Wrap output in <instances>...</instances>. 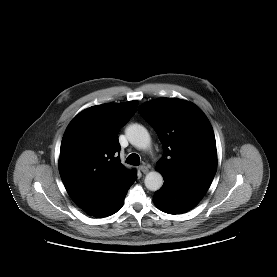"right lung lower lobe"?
<instances>
[{
    "label": "right lung lower lobe",
    "mask_w": 277,
    "mask_h": 277,
    "mask_svg": "<svg viewBox=\"0 0 277 277\" xmlns=\"http://www.w3.org/2000/svg\"><path fill=\"white\" fill-rule=\"evenodd\" d=\"M137 175L135 172L129 174L119 185L115 187L104 199L96 205L84 209L89 215L94 217H106L116 213L124 203V198L130 186L135 182Z\"/></svg>",
    "instance_id": "98d812e1"
}]
</instances>
